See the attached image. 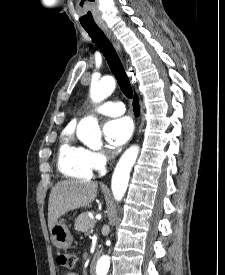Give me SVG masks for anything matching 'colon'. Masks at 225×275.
<instances>
[{"label":"colon","mask_w":225,"mask_h":275,"mask_svg":"<svg viewBox=\"0 0 225 275\" xmlns=\"http://www.w3.org/2000/svg\"><path fill=\"white\" fill-rule=\"evenodd\" d=\"M57 264L66 269H73L76 264V255L72 252H62L57 256Z\"/></svg>","instance_id":"colon-1"}]
</instances>
